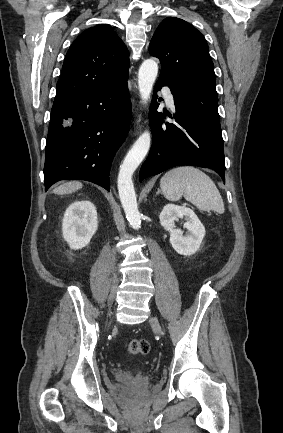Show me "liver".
Returning <instances> with one entry per match:
<instances>
[{
	"instance_id": "1",
	"label": "liver",
	"mask_w": 283,
	"mask_h": 433,
	"mask_svg": "<svg viewBox=\"0 0 283 433\" xmlns=\"http://www.w3.org/2000/svg\"><path fill=\"white\" fill-rule=\"evenodd\" d=\"M82 182L79 180H71V182H65V184H61V186H56L53 188V192L55 194H70V192H75L78 188H82Z\"/></svg>"
}]
</instances>
